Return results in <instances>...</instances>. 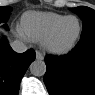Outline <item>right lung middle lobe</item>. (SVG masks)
Instances as JSON below:
<instances>
[{
    "mask_svg": "<svg viewBox=\"0 0 95 95\" xmlns=\"http://www.w3.org/2000/svg\"><path fill=\"white\" fill-rule=\"evenodd\" d=\"M10 11H11V7L9 6L0 7V20L6 21Z\"/></svg>",
    "mask_w": 95,
    "mask_h": 95,
    "instance_id": "obj_1",
    "label": "right lung middle lobe"
}]
</instances>
